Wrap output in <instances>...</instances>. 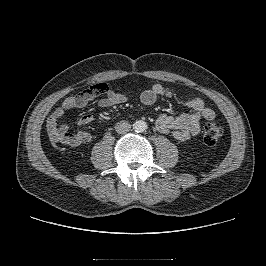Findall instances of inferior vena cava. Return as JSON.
<instances>
[{
    "label": "inferior vena cava",
    "instance_id": "obj_1",
    "mask_svg": "<svg viewBox=\"0 0 266 266\" xmlns=\"http://www.w3.org/2000/svg\"><path fill=\"white\" fill-rule=\"evenodd\" d=\"M131 129V125L129 122L127 121H119L118 123H116L115 125V130L117 133L119 134H126L127 132H129Z\"/></svg>",
    "mask_w": 266,
    "mask_h": 266
}]
</instances>
